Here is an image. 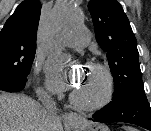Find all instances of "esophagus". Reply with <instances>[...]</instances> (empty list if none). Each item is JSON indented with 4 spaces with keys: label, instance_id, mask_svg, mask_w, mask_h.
I'll return each instance as SVG.
<instances>
[{
    "label": "esophagus",
    "instance_id": "34e87169",
    "mask_svg": "<svg viewBox=\"0 0 151 131\" xmlns=\"http://www.w3.org/2000/svg\"><path fill=\"white\" fill-rule=\"evenodd\" d=\"M64 121L69 125L78 124L81 121V116L75 112H69L63 115Z\"/></svg>",
    "mask_w": 151,
    "mask_h": 131
}]
</instances>
